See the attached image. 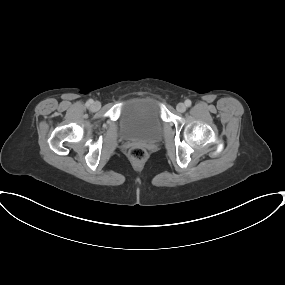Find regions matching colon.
<instances>
[{
	"mask_svg": "<svg viewBox=\"0 0 285 285\" xmlns=\"http://www.w3.org/2000/svg\"><path fill=\"white\" fill-rule=\"evenodd\" d=\"M129 156L135 161H143L147 157V152L143 147L135 146L130 149Z\"/></svg>",
	"mask_w": 285,
	"mask_h": 285,
	"instance_id": "colon-1",
	"label": "colon"
}]
</instances>
